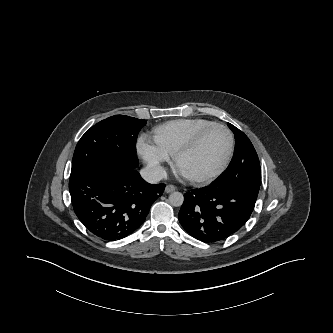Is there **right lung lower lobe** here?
Here are the masks:
<instances>
[{"instance_id": "right-lung-lower-lobe-1", "label": "right lung lower lobe", "mask_w": 333, "mask_h": 333, "mask_svg": "<svg viewBox=\"0 0 333 333\" xmlns=\"http://www.w3.org/2000/svg\"><path fill=\"white\" fill-rule=\"evenodd\" d=\"M164 188L145 182L136 169L91 170L69 181L74 212L88 231L105 241L136 231Z\"/></svg>"}]
</instances>
